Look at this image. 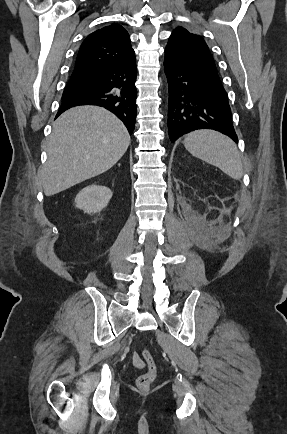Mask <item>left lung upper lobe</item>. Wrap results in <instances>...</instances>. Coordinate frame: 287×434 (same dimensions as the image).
<instances>
[{
  "mask_svg": "<svg viewBox=\"0 0 287 434\" xmlns=\"http://www.w3.org/2000/svg\"><path fill=\"white\" fill-rule=\"evenodd\" d=\"M165 56L189 61L215 70V62L202 37L177 27L169 37Z\"/></svg>",
  "mask_w": 287,
  "mask_h": 434,
  "instance_id": "obj_1",
  "label": "left lung upper lobe"
}]
</instances>
